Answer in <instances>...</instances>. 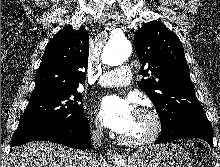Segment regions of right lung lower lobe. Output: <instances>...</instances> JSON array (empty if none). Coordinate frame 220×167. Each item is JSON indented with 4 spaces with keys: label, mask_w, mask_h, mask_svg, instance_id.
<instances>
[{
    "label": "right lung lower lobe",
    "mask_w": 220,
    "mask_h": 167,
    "mask_svg": "<svg viewBox=\"0 0 220 167\" xmlns=\"http://www.w3.org/2000/svg\"><path fill=\"white\" fill-rule=\"evenodd\" d=\"M30 141H51L82 150L92 147L89 122L84 113L72 122L46 121L18 126L11 140V147Z\"/></svg>",
    "instance_id": "obj_1"
}]
</instances>
